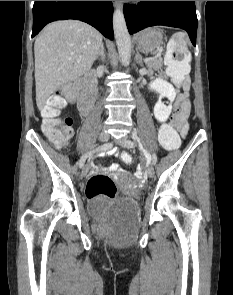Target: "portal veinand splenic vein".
Masks as SVG:
<instances>
[{
	"instance_id": "18ae733b",
	"label": "portal vein and splenic vein",
	"mask_w": 233,
	"mask_h": 295,
	"mask_svg": "<svg viewBox=\"0 0 233 295\" xmlns=\"http://www.w3.org/2000/svg\"><path fill=\"white\" fill-rule=\"evenodd\" d=\"M154 58H146L145 61H150V60H153Z\"/></svg>"
}]
</instances>
